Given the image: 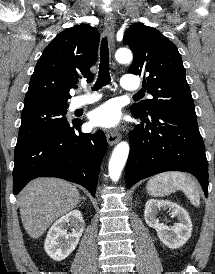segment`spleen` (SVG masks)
<instances>
[{"instance_id": "1", "label": "spleen", "mask_w": 215, "mask_h": 274, "mask_svg": "<svg viewBox=\"0 0 215 274\" xmlns=\"http://www.w3.org/2000/svg\"><path fill=\"white\" fill-rule=\"evenodd\" d=\"M182 190L193 205H199L200 196L195 181L184 173L171 172L157 175L147 183L152 196H164L176 190Z\"/></svg>"}]
</instances>
